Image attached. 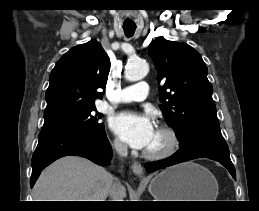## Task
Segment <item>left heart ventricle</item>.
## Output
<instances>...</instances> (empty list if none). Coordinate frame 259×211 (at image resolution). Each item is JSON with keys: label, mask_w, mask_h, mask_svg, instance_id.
I'll return each mask as SVG.
<instances>
[{"label": "left heart ventricle", "mask_w": 259, "mask_h": 211, "mask_svg": "<svg viewBox=\"0 0 259 211\" xmlns=\"http://www.w3.org/2000/svg\"><path fill=\"white\" fill-rule=\"evenodd\" d=\"M165 142H166V138L164 134L156 130L153 136V139L151 143L148 145V147L146 148V150H151V151L158 150L165 145Z\"/></svg>", "instance_id": "b2bd125f"}]
</instances>
